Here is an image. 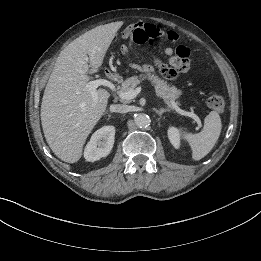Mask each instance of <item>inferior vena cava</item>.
Returning <instances> with one entry per match:
<instances>
[{
  "instance_id": "obj_1",
  "label": "inferior vena cava",
  "mask_w": 261,
  "mask_h": 261,
  "mask_svg": "<svg viewBox=\"0 0 261 261\" xmlns=\"http://www.w3.org/2000/svg\"><path fill=\"white\" fill-rule=\"evenodd\" d=\"M111 109L114 111V112H119V113H127L129 111V106L127 105H112L111 106Z\"/></svg>"
}]
</instances>
